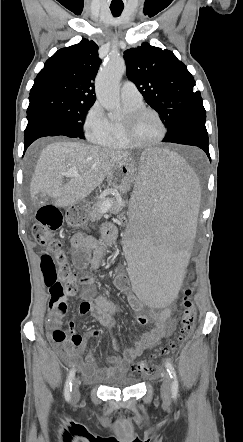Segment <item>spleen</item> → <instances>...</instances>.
Segmentation results:
<instances>
[{
    "instance_id": "1",
    "label": "spleen",
    "mask_w": 243,
    "mask_h": 442,
    "mask_svg": "<svg viewBox=\"0 0 243 442\" xmlns=\"http://www.w3.org/2000/svg\"><path fill=\"white\" fill-rule=\"evenodd\" d=\"M130 193V228L123 240L128 280L145 307H167L179 296L191 258L200 185L185 161L164 147H143Z\"/></svg>"
}]
</instances>
